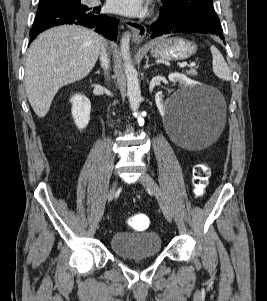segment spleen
Returning a JSON list of instances; mask_svg holds the SVG:
<instances>
[{
  "label": "spleen",
  "mask_w": 267,
  "mask_h": 301,
  "mask_svg": "<svg viewBox=\"0 0 267 301\" xmlns=\"http://www.w3.org/2000/svg\"><path fill=\"white\" fill-rule=\"evenodd\" d=\"M210 50L213 57V72L218 78L229 81L231 79V72L224 57L215 46L212 45Z\"/></svg>",
  "instance_id": "obj_1"
}]
</instances>
